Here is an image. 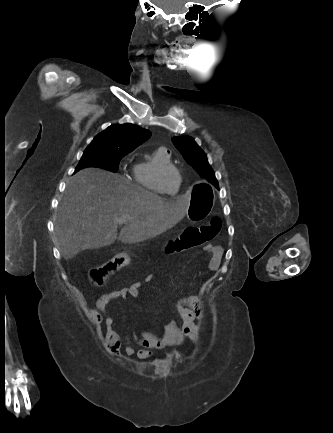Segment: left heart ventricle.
<instances>
[{
	"instance_id": "obj_1",
	"label": "left heart ventricle",
	"mask_w": 333,
	"mask_h": 433,
	"mask_svg": "<svg viewBox=\"0 0 333 433\" xmlns=\"http://www.w3.org/2000/svg\"><path fill=\"white\" fill-rule=\"evenodd\" d=\"M163 184L169 193H174L178 186V176L174 171H168L163 177Z\"/></svg>"
}]
</instances>
